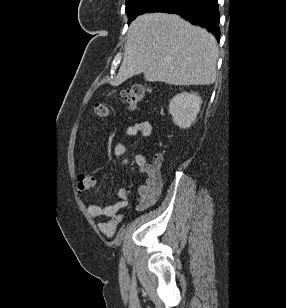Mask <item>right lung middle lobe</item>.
Wrapping results in <instances>:
<instances>
[{"mask_svg": "<svg viewBox=\"0 0 286 308\" xmlns=\"http://www.w3.org/2000/svg\"><path fill=\"white\" fill-rule=\"evenodd\" d=\"M168 0H126L125 12L128 15V23H130L136 16L145 12H151Z\"/></svg>", "mask_w": 286, "mask_h": 308, "instance_id": "dd1d6c3e", "label": "right lung middle lobe"}]
</instances>
